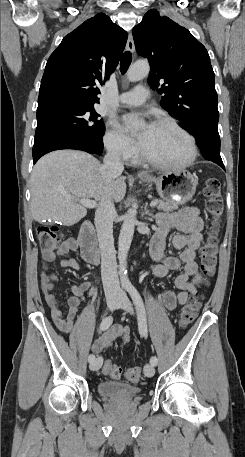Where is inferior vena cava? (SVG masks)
<instances>
[{"label":"inferior vena cava","mask_w":245,"mask_h":457,"mask_svg":"<svg viewBox=\"0 0 245 457\" xmlns=\"http://www.w3.org/2000/svg\"><path fill=\"white\" fill-rule=\"evenodd\" d=\"M105 184L112 182L124 170V164L120 158L119 150L111 148L104 156V164L100 168ZM117 216L114 202L105 196L99 202L95 212V226L99 247L101 249V277L108 297H117L120 289L117 275V263L113 239V220Z\"/></svg>","instance_id":"inferior-vena-cava-1"}]
</instances>
